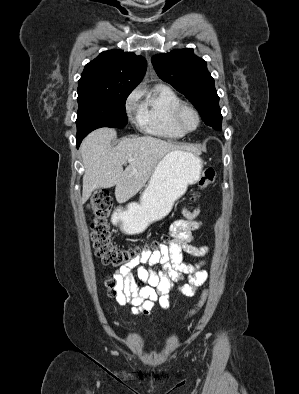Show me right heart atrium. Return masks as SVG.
Wrapping results in <instances>:
<instances>
[{
    "label": "right heart atrium",
    "mask_w": 299,
    "mask_h": 394,
    "mask_svg": "<svg viewBox=\"0 0 299 394\" xmlns=\"http://www.w3.org/2000/svg\"><path fill=\"white\" fill-rule=\"evenodd\" d=\"M141 97V90L135 89L129 96L127 100V110L129 113H132L138 108V100Z\"/></svg>",
    "instance_id": "obj_1"
}]
</instances>
